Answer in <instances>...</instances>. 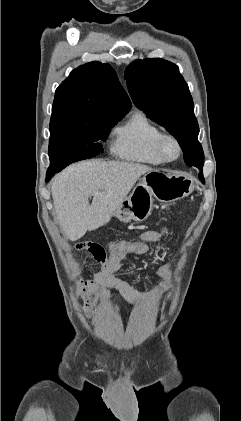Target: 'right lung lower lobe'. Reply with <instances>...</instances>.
I'll use <instances>...</instances> for the list:
<instances>
[{"label": "right lung lower lobe", "mask_w": 241, "mask_h": 421, "mask_svg": "<svg viewBox=\"0 0 241 421\" xmlns=\"http://www.w3.org/2000/svg\"><path fill=\"white\" fill-rule=\"evenodd\" d=\"M59 171H61V170H59V169H55V170L48 169V170H47V174H46V181L50 180V179L53 177V175H54L56 172H59Z\"/></svg>", "instance_id": "right-lung-lower-lobe-1"}]
</instances>
